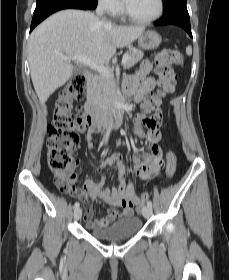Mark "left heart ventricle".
I'll return each mask as SVG.
<instances>
[{
  "instance_id": "left-heart-ventricle-1",
  "label": "left heart ventricle",
  "mask_w": 229,
  "mask_h": 280,
  "mask_svg": "<svg viewBox=\"0 0 229 280\" xmlns=\"http://www.w3.org/2000/svg\"><path fill=\"white\" fill-rule=\"evenodd\" d=\"M124 5L131 15L139 18L153 15L158 7L157 0H125Z\"/></svg>"
}]
</instances>
